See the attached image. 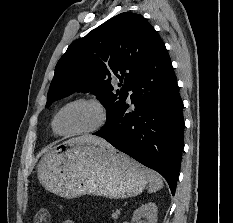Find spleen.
<instances>
[{"label": "spleen", "mask_w": 233, "mask_h": 223, "mask_svg": "<svg viewBox=\"0 0 233 223\" xmlns=\"http://www.w3.org/2000/svg\"><path fill=\"white\" fill-rule=\"evenodd\" d=\"M147 177L149 181L150 193H153V191H158V189H161V187H163L162 177H160L159 173H156V171H153V169H148Z\"/></svg>", "instance_id": "1"}]
</instances>
